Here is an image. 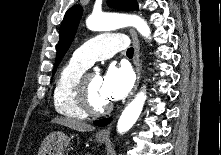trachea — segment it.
Wrapping results in <instances>:
<instances>
[{"label":"trachea","mask_w":221,"mask_h":155,"mask_svg":"<svg viewBox=\"0 0 221 155\" xmlns=\"http://www.w3.org/2000/svg\"><path fill=\"white\" fill-rule=\"evenodd\" d=\"M133 53H134V49H133L132 47H130V48L127 50V52H126V54H127L128 57H132V56H133Z\"/></svg>","instance_id":"3493384b"}]
</instances>
